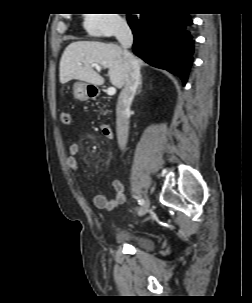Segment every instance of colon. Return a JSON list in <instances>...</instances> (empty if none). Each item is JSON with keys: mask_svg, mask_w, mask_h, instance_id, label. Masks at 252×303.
Segmentation results:
<instances>
[{"mask_svg": "<svg viewBox=\"0 0 252 303\" xmlns=\"http://www.w3.org/2000/svg\"><path fill=\"white\" fill-rule=\"evenodd\" d=\"M60 120L64 125H70L72 123L71 114L68 111H63L60 114Z\"/></svg>", "mask_w": 252, "mask_h": 303, "instance_id": "1", "label": "colon"}]
</instances>
